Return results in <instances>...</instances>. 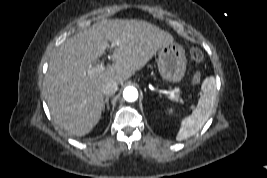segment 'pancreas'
<instances>
[{"instance_id":"obj_1","label":"pancreas","mask_w":267,"mask_h":178,"mask_svg":"<svg viewBox=\"0 0 267 178\" xmlns=\"http://www.w3.org/2000/svg\"><path fill=\"white\" fill-rule=\"evenodd\" d=\"M175 101H179V102H183L182 99L180 98V94L179 92L177 91L174 98H173Z\"/></svg>"}]
</instances>
